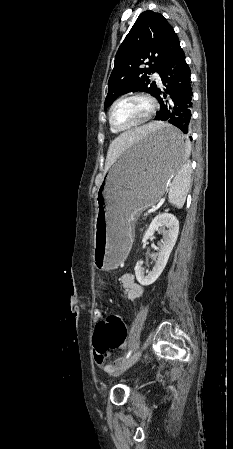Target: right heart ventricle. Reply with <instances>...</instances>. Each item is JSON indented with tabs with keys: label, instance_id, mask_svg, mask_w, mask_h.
I'll return each mask as SVG.
<instances>
[{
	"label": "right heart ventricle",
	"instance_id": "e07e8e85",
	"mask_svg": "<svg viewBox=\"0 0 233 449\" xmlns=\"http://www.w3.org/2000/svg\"><path fill=\"white\" fill-rule=\"evenodd\" d=\"M111 130H112V132H114V133H118V131H116V130H114V129H112V128H111Z\"/></svg>",
	"mask_w": 233,
	"mask_h": 449
}]
</instances>
